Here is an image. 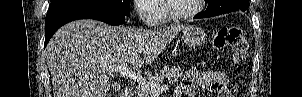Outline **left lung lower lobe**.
<instances>
[{
    "label": "left lung lower lobe",
    "instance_id": "1",
    "mask_svg": "<svg viewBox=\"0 0 302 97\" xmlns=\"http://www.w3.org/2000/svg\"><path fill=\"white\" fill-rule=\"evenodd\" d=\"M216 15H220V13L218 12H214V11H209L206 9L205 12H201L198 15H196L194 18L198 19V18H207V17H212V16H216Z\"/></svg>",
    "mask_w": 302,
    "mask_h": 97
}]
</instances>
